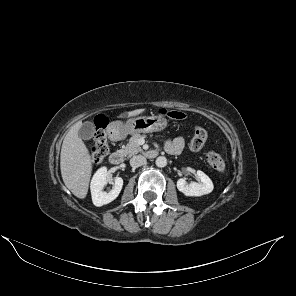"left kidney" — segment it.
<instances>
[{"label":"left kidney","instance_id":"left-kidney-1","mask_svg":"<svg viewBox=\"0 0 296 296\" xmlns=\"http://www.w3.org/2000/svg\"><path fill=\"white\" fill-rule=\"evenodd\" d=\"M197 176L200 182H191L190 184L186 182L185 179L181 178L177 181V188L186 196L199 197L202 195L209 194L213 191V183L211 179L201 170L197 171Z\"/></svg>","mask_w":296,"mask_h":296}]
</instances>
